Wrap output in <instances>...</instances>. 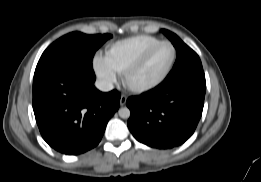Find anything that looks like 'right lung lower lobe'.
Here are the masks:
<instances>
[{
    "instance_id": "right-lung-lower-lobe-1",
    "label": "right lung lower lobe",
    "mask_w": 261,
    "mask_h": 182,
    "mask_svg": "<svg viewBox=\"0 0 261 182\" xmlns=\"http://www.w3.org/2000/svg\"><path fill=\"white\" fill-rule=\"evenodd\" d=\"M96 77L72 58L35 71L33 110L43 139L55 150L76 155L95 147L119 108L120 94L100 92Z\"/></svg>"
}]
</instances>
